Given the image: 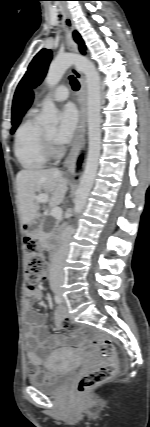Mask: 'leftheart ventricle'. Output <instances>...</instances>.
Listing matches in <instances>:
<instances>
[{
  "label": "left heart ventricle",
  "instance_id": "1",
  "mask_svg": "<svg viewBox=\"0 0 150 427\" xmlns=\"http://www.w3.org/2000/svg\"><path fill=\"white\" fill-rule=\"evenodd\" d=\"M44 132L52 139H54V135L56 133V129L55 128H49V129H45Z\"/></svg>",
  "mask_w": 150,
  "mask_h": 427
}]
</instances>
